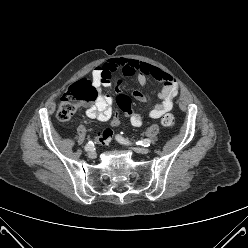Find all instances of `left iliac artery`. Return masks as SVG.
<instances>
[{
	"mask_svg": "<svg viewBox=\"0 0 248 248\" xmlns=\"http://www.w3.org/2000/svg\"><path fill=\"white\" fill-rule=\"evenodd\" d=\"M116 139H117L120 143H122V144H128V143H129L128 140L124 139V138H123L122 136H120V135H117V136H116ZM150 143H151V140H150V139H143V140H140V141L137 142L138 145H142V146H144V147L150 146Z\"/></svg>",
	"mask_w": 248,
	"mask_h": 248,
	"instance_id": "obj_1",
	"label": "left iliac artery"
}]
</instances>
